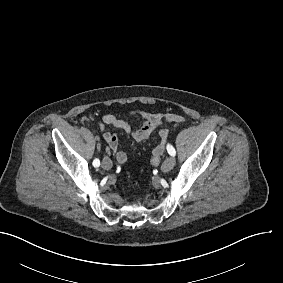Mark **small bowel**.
<instances>
[{
    "label": "small bowel",
    "instance_id": "small-bowel-1",
    "mask_svg": "<svg viewBox=\"0 0 283 283\" xmlns=\"http://www.w3.org/2000/svg\"><path fill=\"white\" fill-rule=\"evenodd\" d=\"M130 116L139 118L141 124L138 127H132L126 120L114 114H104L99 121V128L103 131L106 126L114 127L130 135L136 142L147 140L154 132H157L165 123L184 122V118L175 113L164 114L160 112L132 111ZM104 139L109 148L113 151L116 161L124 164L127 161V155L119 150V138L116 133L105 132Z\"/></svg>",
    "mask_w": 283,
    "mask_h": 283
}]
</instances>
